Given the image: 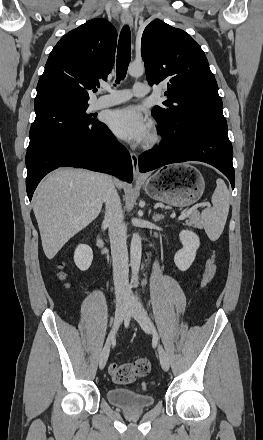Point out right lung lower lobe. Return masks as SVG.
<instances>
[{
    "mask_svg": "<svg viewBox=\"0 0 263 440\" xmlns=\"http://www.w3.org/2000/svg\"><path fill=\"white\" fill-rule=\"evenodd\" d=\"M67 166L112 174L127 182L133 179L128 151L102 123L96 129L62 134L27 151L26 189L29 200L46 174Z\"/></svg>",
    "mask_w": 263,
    "mask_h": 440,
    "instance_id": "98d812e1",
    "label": "right lung lower lobe"
}]
</instances>
